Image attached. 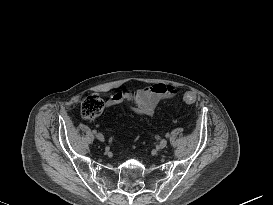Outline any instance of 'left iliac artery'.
I'll return each instance as SVG.
<instances>
[{"label": "left iliac artery", "mask_w": 273, "mask_h": 205, "mask_svg": "<svg viewBox=\"0 0 273 205\" xmlns=\"http://www.w3.org/2000/svg\"><path fill=\"white\" fill-rule=\"evenodd\" d=\"M165 136L168 138V137L170 136V134H169V133H167Z\"/></svg>", "instance_id": "1"}]
</instances>
